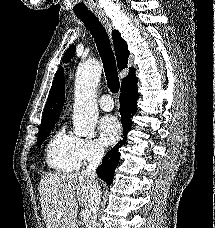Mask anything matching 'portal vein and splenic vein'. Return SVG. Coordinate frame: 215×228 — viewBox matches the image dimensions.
I'll use <instances>...</instances> for the list:
<instances>
[{
	"label": "portal vein and splenic vein",
	"instance_id": "18ae733b",
	"mask_svg": "<svg viewBox=\"0 0 215 228\" xmlns=\"http://www.w3.org/2000/svg\"><path fill=\"white\" fill-rule=\"evenodd\" d=\"M83 220H85V222H87V220H89L90 216H89V210H82V212H80Z\"/></svg>",
	"mask_w": 215,
	"mask_h": 228
}]
</instances>
